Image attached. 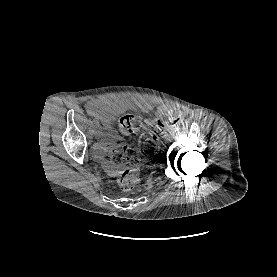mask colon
I'll return each instance as SVG.
<instances>
[{
  "instance_id": "5ec220e1",
  "label": "colon",
  "mask_w": 277,
  "mask_h": 277,
  "mask_svg": "<svg viewBox=\"0 0 277 277\" xmlns=\"http://www.w3.org/2000/svg\"><path fill=\"white\" fill-rule=\"evenodd\" d=\"M179 120L180 114L176 110L163 114L154 122L151 129L142 135L139 148L132 145L109 144L104 147V155L114 165H138L144 157L152 156L159 150L160 138ZM117 126L122 134L127 135L139 131L142 120L138 115L126 114L120 117ZM139 180V172L134 167L127 168L117 177L118 185L126 191L136 188Z\"/></svg>"
}]
</instances>
